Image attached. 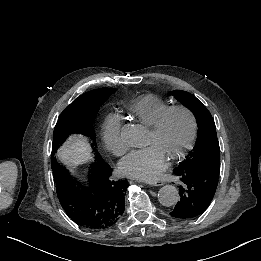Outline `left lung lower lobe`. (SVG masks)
<instances>
[{
	"mask_svg": "<svg viewBox=\"0 0 261 261\" xmlns=\"http://www.w3.org/2000/svg\"><path fill=\"white\" fill-rule=\"evenodd\" d=\"M174 173L179 178L180 199L169 214L177 219L200 216L213 199L218 185L219 171L189 167L175 168Z\"/></svg>",
	"mask_w": 261,
	"mask_h": 261,
	"instance_id": "left-lung-lower-lobe-1",
	"label": "left lung lower lobe"
}]
</instances>
